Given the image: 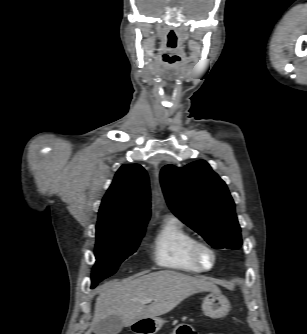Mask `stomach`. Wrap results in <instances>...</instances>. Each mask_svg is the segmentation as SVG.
<instances>
[{"label":"stomach","mask_w":307,"mask_h":334,"mask_svg":"<svg viewBox=\"0 0 307 334\" xmlns=\"http://www.w3.org/2000/svg\"><path fill=\"white\" fill-rule=\"evenodd\" d=\"M231 305L229 300L221 294V292H210L203 300L202 310L204 314L210 318L218 319L228 314ZM139 321L144 325L150 334H155L165 323L162 318H153L150 320Z\"/></svg>","instance_id":"stomach-1"}]
</instances>
